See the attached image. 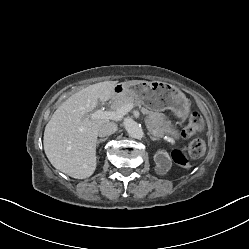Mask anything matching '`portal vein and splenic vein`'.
<instances>
[{
  "label": "portal vein and splenic vein",
  "instance_id": "18ae733b",
  "mask_svg": "<svg viewBox=\"0 0 249 249\" xmlns=\"http://www.w3.org/2000/svg\"><path fill=\"white\" fill-rule=\"evenodd\" d=\"M132 109H133L132 104H126L117 110H112V111L97 110L91 114V118L121 120Z\"/></svg>",
  "mask_w": 249,
  "mask_h": 249
}]
</instances>
